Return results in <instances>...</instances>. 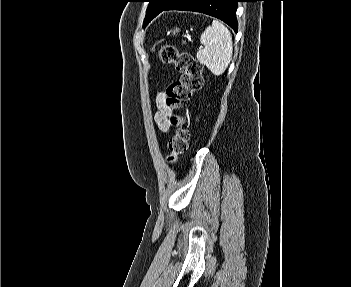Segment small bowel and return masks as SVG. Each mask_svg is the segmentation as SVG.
<instances>
[{"instance_id":"small-bowel-1","label":"small bowel","mask_w":351,"mask_h":287,"mask_svg":"<svg viewBox=\"0 0 351 287\" xmlns=\"http://www.w3.org/2000/svg\"><path fill=\"white\" fill-rule=\"evenodd\" d=\"M156 101L158 105V112L155 115L156 123L163 132H168L170 129L169 115L171 112L165 105L162 93L157 95Z\"/></svg>"}]
</instances>
